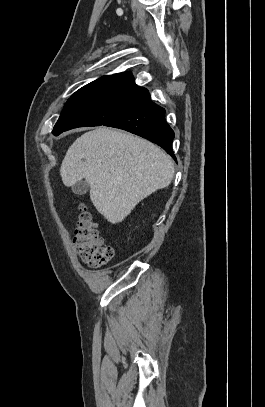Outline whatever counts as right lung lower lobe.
Segmentation results:
<instances>
[{
    "label": "right lung lower lobe",
    "mask_w": 265,
    "mask_h": 407,
    "mask_svg": "<svg viewBox=\"0 0 265 407\" xmlns=\"http://www.w3.org/2000/svg\"><path fill=\"white\" fill-rule=\"evenodd\" d=\"M164 114L165 109L153 103L149 98L141 105L104 125L123 129L146 138L162 147L176 160L172 150L174 132L165 121Z\"/></svg>",
    "instance_id": "98d812e1"
}]
</instances>
